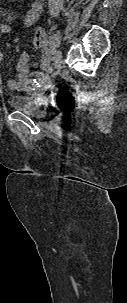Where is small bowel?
<instances>
[{
    "instance_id": "c3829d8e",
    "label": "small bowel",
    "mask_w": 127,
    "mask_h": 303,
    "mask_svg": "<svg viewBox=\"0 0 127 303\" xmlns=\"http://www.w3.org/2000/svg\"><path fill=\"white\" fill-rule=\"evenodd\" d=\"M15 1V0H10ZM41 5L33 3L25 18V25H33L39 18ZM12 27L9 24H0V40L3 35L10 33ZM34 45L42 49L40 62H34L28 52H23L17 64V79L9 80L7 83L11 91L31 92L35 84L47 85L49 83V74L52 70V53L47 46L46 32L42 28L35 31L33 38ZM3 61V53L0 50V63ZM39 66V71H33L32 68Z\"/></svg>"
}]
</instances>
